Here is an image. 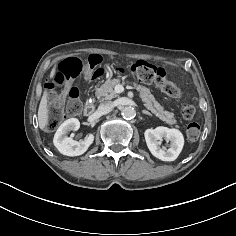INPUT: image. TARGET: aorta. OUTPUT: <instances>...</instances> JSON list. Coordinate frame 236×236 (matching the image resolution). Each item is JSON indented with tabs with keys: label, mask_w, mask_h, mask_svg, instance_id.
<instances>
[{
	"label": "aorta",
	"mask_w": 236,
	"mask_h": 236,
	"mask_svg": "<svg viewBox=\"0 0 236 236\" xmlns=\"http://www.w3.org/2000/svg\"><path fill=\"white\" fill-rule=\"evenodd\" d=\"M121 114L125 119H132L135 117L136 112L133 107L127 106L122 109Z\"/></svg>",
	"instance_id": "762f6f07"
}]
</instances>
